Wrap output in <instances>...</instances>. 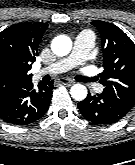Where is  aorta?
<instances>
[{
  "label": "aorta",
  "instance_id": "762f6f07",
  "mask_svg": "<svg viewBox=\"0 0 135 165\" xmlns=\"http://www.w3.org/2000/svg\"><path fill=\"white\" fill-rule=\"evenodd\" d=\"M72 48V42L67 36H59L55 38L51 44L52 51L58 56L67 55ZM73 99L82 101L87 96V88L82 84H74L70 89Z\"/></svg>",
  "mask_w": 135,
  "mask_h": 165
}]
</instances>
